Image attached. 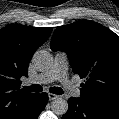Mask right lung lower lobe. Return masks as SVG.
<instances>
[{"instance_id":"1","label":"right lung lower lobe","mask_w":119,"mask_h":119,"mask_svg":"<svg viewBox=\"0 0 119 119\" xmlns=\"http://www.w3.org/2000/svg\"><path fill=\"white\" fill-rule=\"evenodd\" d=\"M48 102V95L47 93L38 94L35 103L26 113V115L22 119H37L38 115L41 111L45 108Z\"/></svg>"}]
</instances>
